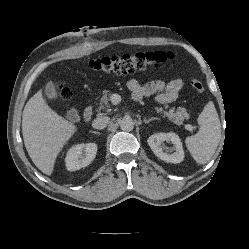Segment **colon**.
Returning <instances> with one entry per match:
<instances>
[{
  "instance_id": "5ec220e1",
  "label": "colon",
  "mask_w": 249,
  "mask_h": 249,
  "mask_svg": "<svg viewBox=\"0 0 249 249\" xmlns=\"http://www.w3.org/2000/svg\"><path fill=\"white\" fill-rule=\"evenodd\" d=\"M172 54L163 51H139L121 56H105L91 59L87 62L89 68L94 71L117 74H130L147 69H159L169 65ZM191 87L201 92L204 89L203 82L195 75L188 77ZM58 96L67 105L71 106V91L64 86H58Z\"/></svg>"
}]
</instances>
